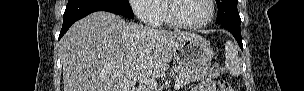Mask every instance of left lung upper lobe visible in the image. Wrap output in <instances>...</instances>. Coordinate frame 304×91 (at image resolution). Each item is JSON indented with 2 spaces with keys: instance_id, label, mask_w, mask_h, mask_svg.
Segmentation results:
<instances>
[{
  "instance_id": "5c2ea615",
  "label": "left lung upper lobe",
  "mask_w": 304,
  "mask_h": 91,
  "mask_svg": "<svg viewBox=\"0 0 304 91\" xmlns=\"http://www.w3.org/2000/svg\"><path fill=\"white\" fill-rule=\"evenodd\" d=\"M218 6V24L233 18H240L237 10V0H215Z\"/></svg>"
}]
</instances>
